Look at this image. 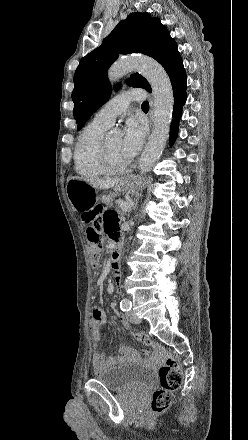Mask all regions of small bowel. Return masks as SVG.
I'll return each instance as SVG.
<instances>
[{
  "mask_svg": "<svg viewBox=\"0 0 248 440\" xmlns=\"http://www.w3.org/2000/svg\"><path fill=\"white\" fill-rule=\"evenodd\" d=\"M104 229L110 235V237L119 236L118 233V217L113 212H106L104 214ZM117 285L118 280H117ZM114 290L113 284L109 283L107 291L111 294ZM106 324V316L101 308H94L89 321V330L94 342V354L92 357V364L95 371H101L104 368L118 363L119 360H141L146 361L153 358L149 353L140 354L135 350L127 347L122 348V357L117 358L115 356L105 357L104 354L98 349L101 336V328ZM123 324L127 325V322L123 320Z\"/></svg>",
  "mask_w": 248,
  "mask_h": 440,
  "instance_id": "small-bowel-1",
  "label": "small bowel"
}]
</instances>
